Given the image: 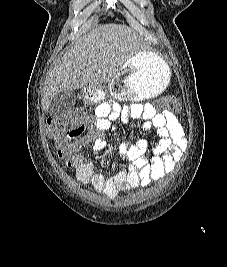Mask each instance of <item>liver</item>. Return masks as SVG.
Segmentation results:
<instances>
[{
    "instance_id": "1",
    "label": "liver",
    "mask_w": 227,
    "mask_h": 267,
    "mask_svg": "<svg viewBox=\"0 0 227 267\" xmlns=\"http://www.w3.org/2000/svg\"><path fill=\"white\" fill-rule=\"evenodd\" d=\"M145 41L132 28L121 24L98 25L80 37L61 57L45 81L42 110L64 90L110 82L138 52Z\"/></svg>"
}]
</instances>
